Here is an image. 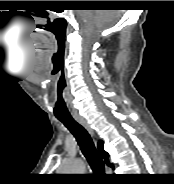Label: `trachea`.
Listing matches in <instances>:
<instances>
[{
    "mask_svg": "<svg viewBox=\"0 0 174 184\" xmlns=\"http://www.w3.org/2000/svg\"><path fill=\"white\" fill-rule=\"evenodd\" d=\"M59 121L74 135L93 172L97 174L103 173L104 163L87 130L73 118H59Z\"/></svg>",
    "mask_w": 174,
    "mask_h": 184,
    "instance_id": "1",
    "label": "trachea"
}]
</instances>
